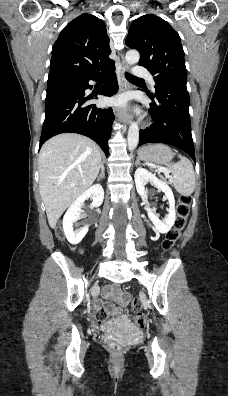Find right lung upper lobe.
Masks as SVG:
<instances>
[{
  "instance_id": "cb5924a9",
  "label": "right lung upper lobe",
  "mask_w": 228,
  "mask_h": 396,
  "mask_svg": "<svg viewBox=\"0 0 228 396\" xmlns=\"http://www.w3.org/2000/svg\"><path fill=\"white\" fill-rule=\"evenodd\" d=\"M110 53L103 21L82 14L61 31L52 48L48 83L90 78L114 63Z\"/></svg>"
}]
</instances>
